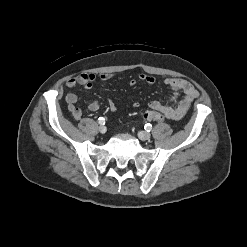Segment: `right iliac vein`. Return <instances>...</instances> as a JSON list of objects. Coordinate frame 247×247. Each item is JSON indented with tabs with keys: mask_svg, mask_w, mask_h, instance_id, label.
<instances>
[{
	"mask_svg": "<svg viewBox=\"0 0 247 247\" xmlns=\"http://www.w3.org/2000/svg\"><path fill=\"white\" fill-rule=\"evenodd\" d=\"M98 130H99L100 133L104 134V133H106L107 129H106L105 126H99Z\"/></svg>",
	"mask_w": 247,
	"mask_h": 247,
	"instance_id": "right-iliac-vein-1",
	"label": "right iliac vein"
}]
</instances>
